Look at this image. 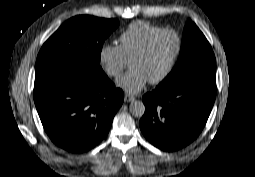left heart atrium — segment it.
<instances>
[{
  "label": "left heart atrium",
  "mask_w": 255,
  "mask_h": 177,
  "mask_svg": "<svg viewBox=\"0 0 255 177\" xmlns=\"http://www.w3.org/2000/svg\"><path fill=\"white\" fill-rule=\"evenodd\" d=\"M147 77L137 70H132L117 81V85L129 94L140 92L146 85Z\"/></svg>",
  "instance_id": "1"
}]
</instances>
